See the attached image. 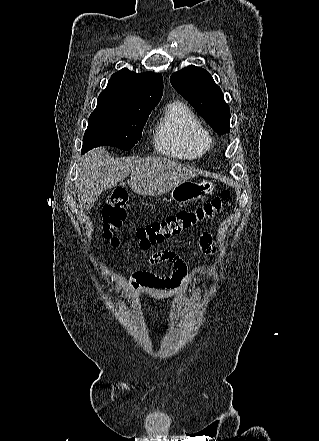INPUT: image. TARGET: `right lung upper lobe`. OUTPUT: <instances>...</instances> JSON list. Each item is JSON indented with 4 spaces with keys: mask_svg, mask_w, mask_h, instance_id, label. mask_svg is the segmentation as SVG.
Masks as SVG:
<instances>
[{
    "mask_svg": "<svg viewBox=\"0 0 319 441\" xmlns=\"http://www.w3.org/2000/svg\"><path fill=\"white\" fill-rule=\"evenodd\" d=\"M163 93L160 73H135L123 68L114 73L98 97L97 107H155Z\"/></svg>",
    "mask_w": 319,
    "mask_h": 441,
    "instance_id": "1",
    "label": "right lung upper lobe"
}]
</instances>
